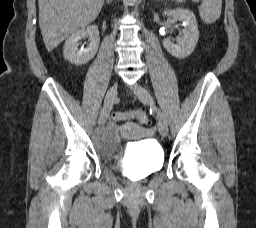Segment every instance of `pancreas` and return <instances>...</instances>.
<instances>
[{
  "mask_svg": "<svg viewBox=\"0 0 256 228\" xmlns=\"http://www.w3.org/2000/svg\"><path fill=\"white\" fill-rule=\"evenodd\" d=\"M174 1L183 3V2H185L186 0H174Z\"/></svg>",
  "mask_w": 256,
  "mask_h": 228,
  "instance_id": "pancreas-1",
  "label": "pancreas"
}]
</instances>
